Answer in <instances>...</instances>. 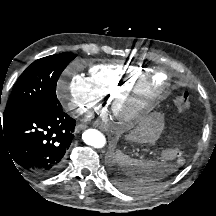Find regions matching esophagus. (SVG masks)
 <instances>
[{"label":"esophagus","instance_id":"34e87169","mask_svg":"<svg viewBox=\"0 0 216 216\" xmlns=\"http://www.w3.org/2000/svg\"><path fill=\"white\" fill-rule=\"evenodd\" d=\"M87 126L85 124H77L75 126V132L78 133L80 132L81 130L85 129Z\"/></svg>","mask_w":216,"mask_h":216}]
</instances>
